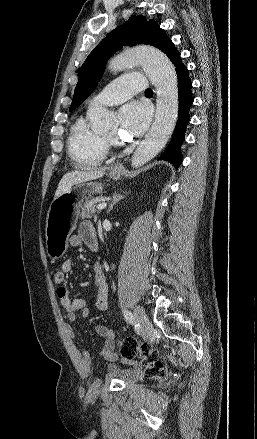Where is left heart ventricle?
Segmentation results:
<instances>
[{"label":"left heart ventricle","mask_w":257,"mask_h":439,"mask_svg":"<svg viewBox=\"0 0 257 439\" xmlns=\"http://www.w3.org/2000/svg\"><path fill=\"white\" fill-rule=\"evenodd\" d=\"M115 132H112L111 134L107 135V138H112L114 136Z\"/></svg>","instance_id":"obj_1"}]
</instances>
